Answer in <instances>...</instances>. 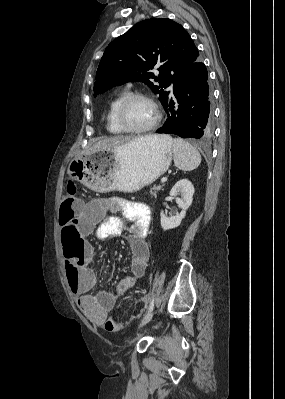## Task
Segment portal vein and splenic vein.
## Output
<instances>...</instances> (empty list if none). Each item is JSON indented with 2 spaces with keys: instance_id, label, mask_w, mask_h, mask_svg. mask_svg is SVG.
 <instances>
[{
  "instance_id": "1",
  "label": "portal vein and splenic vein",
  "mask_w": 285,
  "mask_h": 399,
  "mask_svg": "<svg viewBox=\"0 0 285 399\" xmlns=\"http://www.w3.org/2000/svg\"><path fill=\"white\" fill-rule=\"evenodd\" d=\"M167 181V178L166 177H163L162 179H161V182L162 183H165Z\"/></svg>"
}]
</instances>
